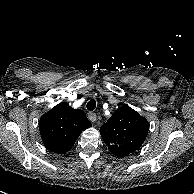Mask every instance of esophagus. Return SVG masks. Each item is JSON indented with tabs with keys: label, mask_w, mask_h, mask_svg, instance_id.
Instances as JSON below:
<instances>
[{
	"label": "esophagus",
	"mask_w": 194,
	"mask_h": 194,
	"mask_svg": "<svg viewBox=\"0 0 194 194\" xmlns=\"http://www.w3.org/2000/svg\"><path fill=\"white\" fill-rule=\"evenodd\" d=\"M88 118H89V120H90L91 122H95L97 116H96L95 113L90 112V113L88 114Z\"/></svg>",
	"instance_id": "1"
}]
</instances>
